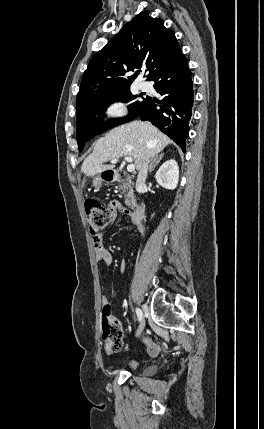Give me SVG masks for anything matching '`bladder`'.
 Segmentation results:
<instances>
[{"mask_svg":"<svg viewBox=\"0 0 264 429\" xmlns=\"http://www.w3.org/2000/svg\"><path fill=\"white\" fill-rule=\"evenodd\" d=\"M152 373V369L151 368H147L144 370V375H150Z\"/></svg>","mask_w":264,"mask_h":429,"instance_id":"31cf9c89","label":"bladder"}]
</instances>
